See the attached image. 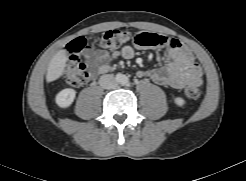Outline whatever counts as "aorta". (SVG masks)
Segmentation results:
<instances>
[{"label":"aorta","mask_w":246,"mask_h":181,"mask_svg":"<svg viewBox=\"0 0 246 181\" xmlns=\"http://www.w3.org/2000/svg\"><path fill=\"white\" fill-rule=\"evenodd\" d=\"M117 80H118L119 83L124 84L126 82V76L122 75V74H119L117 76Z\"/></svg>","instance_id":"762f6f07"}]
</instances>
